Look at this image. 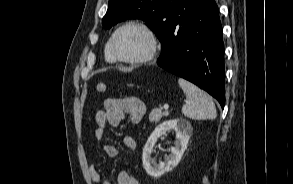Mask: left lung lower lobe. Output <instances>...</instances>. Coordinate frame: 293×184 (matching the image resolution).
Here are the masks:
<instances>
[{"mask_svg": "<svg viewBox=\"0 0 293 184\" xmlns=\"http://www.w3.org/2000/svg\"><path fill=\"white\" fill-rule=\"evenodd\" d=\"M157 64L204 89L224 107V44L214 0L177 3Z\"/></svg>", "mask_w": 293, "mask_h": 184, "instance_id": "obj_1", "label": "left lung lower lobe"}]
</instances>
